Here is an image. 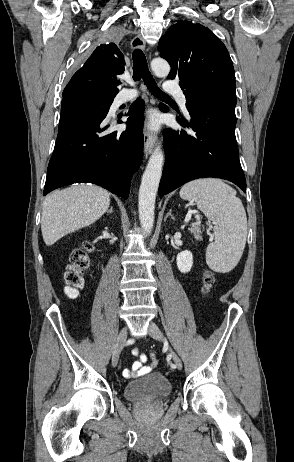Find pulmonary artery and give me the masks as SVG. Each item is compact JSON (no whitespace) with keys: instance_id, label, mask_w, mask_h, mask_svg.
Here are the masks:
<instances>
[{"instance_id":"pulmonary-artery-1","label":"pulmonary artery","mask_w":294,"mask_h":462,"mask_svg":"<svg viewBox=\"0 0 294 462\" xmlns=\"http://www.w3.org/2000/svg\"><path fill=\"white\" fill-rule=\"evenodd\" d=\"M165 90L169 93H172L176 97L181 108L187 113V99L182 89L175 84H167L165 86ZM137 95L138 94L136 91L125 88L118 94L116 101L117 103H125L134 100L137 97Z\"/></svg>"}]
</instances>
